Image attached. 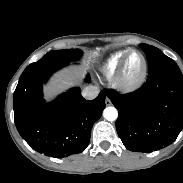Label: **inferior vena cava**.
I'll return each instance as SVG.
<instances>
[{
	"label": "inferior vena cava",
	"instance_id": "602c4592",
	"mask_svg": "<svg viewBox=\"0 0 183 183\" xmlns=\"http://www.w3.org/2000/svg\"><path fill=\"white\" fill-rule=\"evenodd\" d=\"M99 94V89L95 86L85 87L82 91V96L87 100L96 98Z\"/></svg>",
	"mask_w": 183,
	"mask_h": 183
}]
</instances>
